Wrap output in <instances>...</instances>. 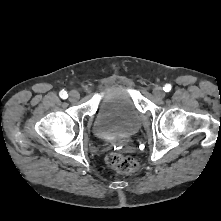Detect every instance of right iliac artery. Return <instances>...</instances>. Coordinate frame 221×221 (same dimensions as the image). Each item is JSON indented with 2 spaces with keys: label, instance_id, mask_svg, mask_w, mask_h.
<instances>
[{
  "label": "right iliac artery",
  "instance_id": "1",
  "mask_svg": "<svg viewBox=\"0 0 221 221\" xmlns=\"http://www.w3.org/2000/svg\"><path fill=\"white\" fill-rule=\"evenodd\" d=\"M60 97L63 98V99H66L68 97V94L66 91L62 90L60 91L59 93Z\"/></svg>",
  "mask_w": 221,
  "mask_h": 221
}]
</instances>
